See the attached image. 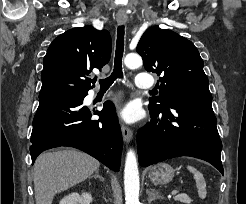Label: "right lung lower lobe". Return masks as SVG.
Masks as SVG:
<instances>
[{
    "label": "right lung lower lobe",
    "mask_w": 246,
    "mask_h": 204,
    "mask_svg": "<svg viewBox=\"0 0 246 204\" xmlns=\"http://www.w3.org/2000/svg\"><path fill=\"white\" fill-rule=\"evenodd\" d=\"M87 92H62L39 98L33 119L30 153L32 163L44 150L70 146L95 157L119 171L122 135L114 105L107 101L102 111H94L99 120H91L83 106Z\"/></svg>",
    "instance_id": "right-lung-lower-lobe-1"
}]
</instances>
